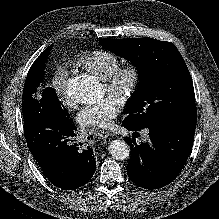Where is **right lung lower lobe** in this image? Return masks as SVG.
Here are the masks:
<instances>
[{
  "mask_svg": "<svg viewBox=\"0 0 219 219\" xmlns=\"http://www.w3.org/2000/svg\"><path fill=\"white\" fill-rule=\"evenodd\" d=\"M33 109L24 115V135L45 176L64 190L85 185L96 170L93 150L76 143L78 132L72 120L66 122L55 112Z\"/></svg>",
  "mask_w": 219,
  "mask_h": 219,
  "instance_id": "right-lung-lower-lobe-1",
  "label": "right lung lower lobe"
}]
</instances>
